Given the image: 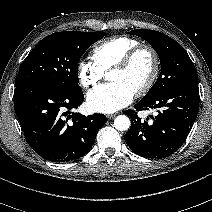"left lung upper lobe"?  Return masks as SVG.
I'll use <instances>...</instances> for the list:
<instances>
[{
  "label": "left lung upper lobe",
  "instance_id": "left-lung-upper-lobe-1",
  "mask_svg": "<svg viewBox=\"0 0 212 212\" xmlns=\"http://www.w3.org/2000/svg\"><path fill=\"white\" fill-rule=\"evenodd\" d=\"M129 34L137 35L156 50L161 61V72L153 87L141 100H148L176 85L198 80L197 72L186 50L174 39L154 30L136 29Z\"/></svg>",
  "mask_w": 212,
  "mask_h": 212
}]
</instances>
